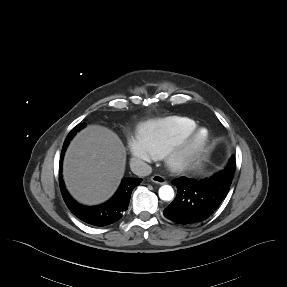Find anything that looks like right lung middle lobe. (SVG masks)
<instances>
[{
    "instance_id": "dd1d6c3e",
    "label": "right lung middle lobe",
    "mask_w": 287,
    "mask_h": 287,
    "mask_svg": "<svg viewBox=\"0 0 287 287\" xmlns=\"http://www.w3.org/2000/svg\"><path fill=\"white\" fill-rule=\"evenodd\" d=\"M83 125L82 124H79V125H77L76 127H74L72 130H71V132L70 133H74L75 131H78V129L79 128H81Z\"/></svg>"
}]
</instances>
